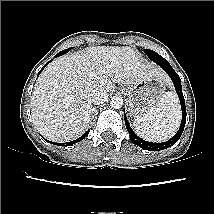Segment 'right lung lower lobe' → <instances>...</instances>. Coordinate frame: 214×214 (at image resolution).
Masks as SVG:
<instances>
[{
  "label": "right lung lower lobe",
  "instance_id": "obj_1",
  "mask_svg": "<svg viewBox=\"0 0 214 214\" xmlns=\"http://www.w3.org/2000/svg\"><path fill=\"white\" fill-rule=\"evenodd\" d=\"M57 56H61V55H56V57ZM50 62V61H49ZM49 62L40 70V72L49 64ZM40 72H39V74H40ZM38 74V75H39ZM89 134V130L88 131H86L81 137H79L78 139H76V140H74V141H71V142H67V143H53V142H49V143H51V144H55V145H60V146H62V145H64V146H71V145H73V144H75V143H77V142H79V141H81V140H83L87 135ZM47 141V140H46Z\"/></svg>",
  "mask_w": 214,
  "mask_h": 214
}]
</instances>
